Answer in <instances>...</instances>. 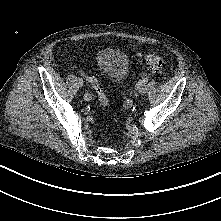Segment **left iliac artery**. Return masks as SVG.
<instances>
[{
	"mask_svg": "<svg viewBox=\"0 0 221 221\" xmlns=\"http://www.w3.org/2000/svg\"><path fill=\"white\" fill-rule=\"evenodd\" d=\"M149 78L146 77V78H143L142 80H140L137 84L138 87L146 84L148 82ZM133 106V100L132 99H126L124 102H123V107L125 109H129Z\"/></svg>",
	"mask_w": 221,
	"mask_h": 221,
	"instance_id": "left-iliac-artery-1",
	"label": "left iliac artery"
}]
</instances>
